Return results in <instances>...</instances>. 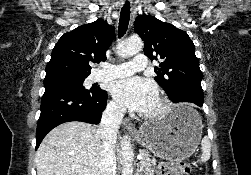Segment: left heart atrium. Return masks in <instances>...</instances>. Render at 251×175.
<instances>
[{
	"mask_svg": "<svg viewBox=\"0 0 251 175\" xmlns=\"http://www.w3.org/2000/svg\"><path fill=\"white\" fill-rule=\"evenodd\" d=\"M112 94L122 107L138 112H151L158 102L156 85L140 76H128L112 85Z\"/></svg>",
	"mask_w": 251,
	"mask_h": 175,
	"instance_id": "39dd6f15",
	"label": "left heart atrium"
}]
</instances>
